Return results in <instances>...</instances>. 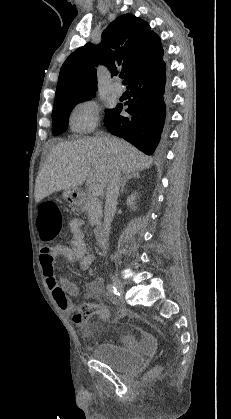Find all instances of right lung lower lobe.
Listing matches in <instances>:
<instances>
[{
    "label": "right lung lower lobe",
    "mask_w": 231,
    "mask_h": 419,
    "mask_svg": "<svg viewBox=\"0 0 231 419\" xmlns=\"http://www.w3.org/2000/svg\"><path fill=\"white\" fill-rule=\"evenodd\" d=\"M166 65L160 60L154 66L128 83L130 99L125 105L128 116L120 115L123 105L118 104L104 118L108 131L122 137L151 155L160 150V139L166 134V105L169 90L166 85Z\"/></svg>",
    "instance_id": "right-lung-lower-lobe-1"
}]
</instances>
